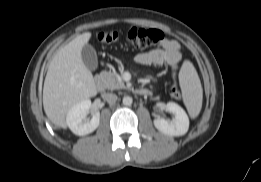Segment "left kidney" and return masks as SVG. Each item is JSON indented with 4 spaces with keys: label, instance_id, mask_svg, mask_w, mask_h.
<instances>
[{
    "label": "left kidney",
    "instance_id": "left-kidney-1",
    "mask_svg": "<svg viewBox=\"0 0 261 182\" xmlns=\"http://www.w3.org/2000/svg\"><path fill=\"white\" fill-rule=\"evenodd\" d=\"M165 110L174 115L171 121L157 117L154 119V126L162 133L170 136H182L189 128V118L182 107L174 102H168Z\"/></svg>",
    "mask_w": 261,
    "mask_h": 182
}]
</instances>
